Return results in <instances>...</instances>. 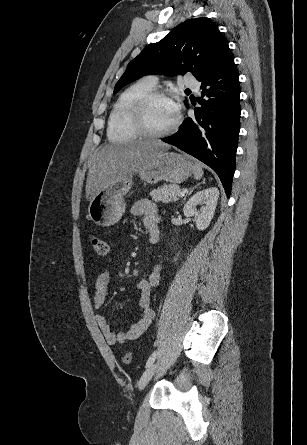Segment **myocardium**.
Here are the masks:
<instances>
[{"label":"myocardium","instance_id":"obj_1","mask_svg":"<svg viewBox=\"0 0 307 445\" xmlns=\"http://www.w3.org/2000/svg\"><path fill=\"white\" fill-rule=\"evenodd\" d=\"M158 99L170 101L167 94H165L159 90H152L151 92L146 94L137 103V105L135 107L134 114H135L137 125L140 129L141 134H143L145 136V137H143V139H158L161 137L170 136L177 130V128L179 126L180 116H179V114H176V117H175L173 123L164 131L156 132V131H153L149 127L148 122H147V109L153 101L158 100Z\"/></svg>","mask_w":307,"mask_h":445}]
</instances>
